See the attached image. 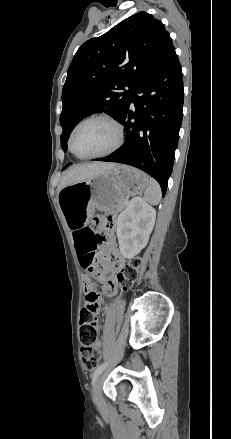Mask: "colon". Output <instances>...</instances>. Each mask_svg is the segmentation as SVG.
Segmentation results:
<instances>
[{
  "mask_svg": "<svg viewBox=\"0 0 231 439\" xmlns=\"http://www.w3.org/2000/svg\"><path fill=\"white\" fill-rule=\"evenodd\" d=\"M103 229H109L112 226L113 220L111 217H105L100 219ZM98 241H105L106 235L99 234L97 236ZM95 252H90L83 257L81 265L83 268L90 272L97 273L94 268ZM140 261L139 259H133L124 264L117 275V280L124 287L132 283L138 276ZM99 318L92 308L83 307L80 315V343L81 354L84 366L91 370L94 369L99 360L98 352L93 347L97 342L99 335Z\"/></svg>",
  "mask_w": 231,
  "mask_h": 439,
  "instance_id": "obj_1",
  "label": "colon"
}]
</instances>
